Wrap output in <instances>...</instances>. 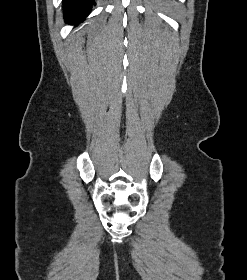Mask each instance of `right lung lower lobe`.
<instances>
[{
	"label": "right lung lower lobe",
	"instance_id": "98d812e1",
	"mask_svg": "<svg viewBox=\"0 0 247 280\" xmlns=\"http://www.w3.org/2000/svg\"><path fill=\"white\" fill-rule=\"evenodd\" d=\"M94 0H64V19L67 24L77 25L92 11Z\"/></svg>",
	"mask_w": 247,
	"mask_h": 280
}]
</instances>
